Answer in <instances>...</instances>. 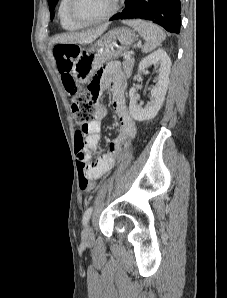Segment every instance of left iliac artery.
<instances>
[{
	"mask_svg": "<svg viewBox=\"0 0 227 298\" xmlns=\"http://www.w3.org/2000/svg\"><path fill=\"white\" fill-rule=\"evenodd\" d=\"M92 211H93V207L90 206L89 208H87V210L85 211L84 215H83V218H82V222H83V225H86L91 217V214H92Z\"/></svg>",
	"mask_w": 227,
	"mask_h": 298,
	"instance_id": "obj_1",
	"label": "left iliac artery"
}]
</instances>
